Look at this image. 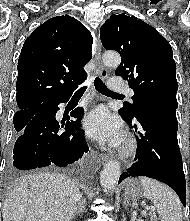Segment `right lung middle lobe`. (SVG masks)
Masks as SVG:
<instances>
[{
    "mask_svg": "<svg viewBox=\"0 0 190 221\" xmlns=\"http://www.w3.org/2000/svg\"><path fill=\"white\" fill-rule=\"evenodd\" d=\"M40 107V106H39ZM39 107H35L29 110H25L14 115V127L17 132H21L25 125L34 117L38 112Z\"/></svg>",
    "mask_w": 190,
    "mask_h": 221,
    "instance_id": "right-lung-middle-lobe-1",
    "label": "right lung middle lobe"
}]
</instances>
